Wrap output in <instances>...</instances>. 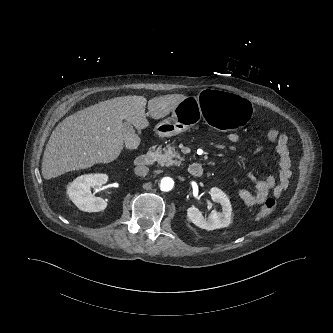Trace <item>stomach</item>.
<instances>
[{"instance_id": "0dacf381", "label": "stomach", "mask_w": 333, "mask_h": 333, "mask_svg": "<svg viewBox=\"0 0 333 333\" xmlns=\"http://www.w3.org/2000/svg\"><path fill=\"white\" fill-rule=\"evenodd\" d=\"M206 123L219 130H234L247 125L253 116L250 101L242 95L219 87L203 90L198 99L186 97L172 116L155 126L160 137H171L188 130L197 120V109Z\"/></svg>"}]
</instances>
